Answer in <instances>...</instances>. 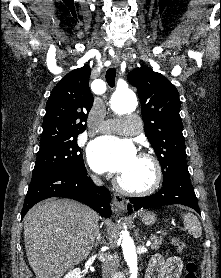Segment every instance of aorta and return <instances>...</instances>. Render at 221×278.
<instances>
[{
    "label": "aorta",
    "mask_w": 221,
    "mask_h": 278,
    "mask_svg": "<svg viewBox=\"0 0 221 278\" xmlns=\"http://www.w3.org/2000/svg\"><path fill=\"white\" fill-rule=\"evenodd\" d=\"M137 99L133 91L127 90L121 93H115L111 98V108L118 115H123L132 112L136 109ZM119 240L124 259L129 267L130 278H137V254L133 239L127 232H122Z\"/></svg>",
    "instance_id": "762f6f07"
}]
</instances>
